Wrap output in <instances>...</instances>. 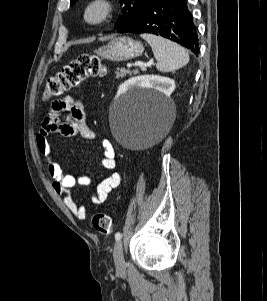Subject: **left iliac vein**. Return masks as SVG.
<instances>
[{
  "label": "left iliac vein",
  "instance_id": "4c4485c4",
  "mask_svg": "<svg viewBox=\"0 0 267 301\" xmlns=\"http://www.w3.org/2000/svg\"><path fill=\"white\" fill-rule=\"evenodd\" d=\"M114 263L118 271L125 270V260L123 255V245L121 240H117L113 251Z\"/></svg>",
  "mask_w": 267,
  "mask_h": 301
}]
</instances>
